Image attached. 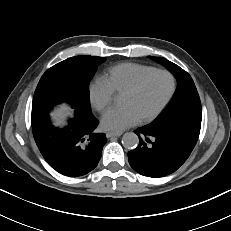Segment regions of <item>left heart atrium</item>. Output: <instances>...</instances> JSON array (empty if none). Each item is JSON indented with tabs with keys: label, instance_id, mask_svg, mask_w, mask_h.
<instances>
[{
	"label": "left heart atrium",
	"instance_id": "39dd6f15",
	"mask_svg": "<svg viewBox=\"0 0 231 231\" xmlns=\"http://www.w3.org/2000/svg\"><path fill=\"white\" fill-rule=\"evenodd\" d=\"M139 121V116L131 106L122 105L106 112L102 117L101 126L107 131L120 132Z\"/></svg>",
	"mask_w": 231,
	"mask_h": 231
}]
</instances>
